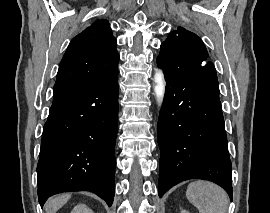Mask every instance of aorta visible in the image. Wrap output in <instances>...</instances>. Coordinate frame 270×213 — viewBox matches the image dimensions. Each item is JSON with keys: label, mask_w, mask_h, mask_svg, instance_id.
<instances>
[{"label": "aorta", "mask_w": 270, "mask_h": 213, "mask_svg": "<svg viewBox=\"0 0 270 213\" xmlns=\"http://www.w3.org/2000/svg\"><path fill=\"white\" fill-rule=\"evenodd\" d=\"M154 93L159 105L162 104L165 94V80L162 70H157L154 75Z\"/></svg>", "instance_id": "762f6f07"}]
</instances>
